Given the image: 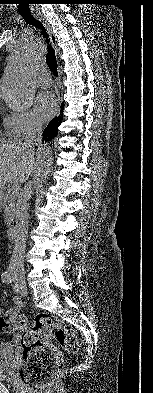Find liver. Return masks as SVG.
I'll return each instance as SVG.
<instances>
[{"instance_id":"obj_1","label":"liver","mask_w":153,"mask_h":393,"mask_svg":"<svg viewBox=\"0 0 153 393\" xmlns=\"http://www.w3.org/2000/svg\"><path fill=\"white\" fill-rule=\"evenodd\" d=\"M36 168V157L21 142L0 144V190L15 179L26 182Z\"/></svg>"}]
</instances>
